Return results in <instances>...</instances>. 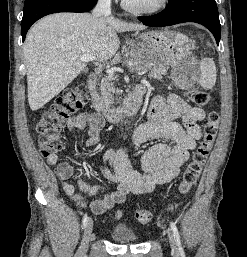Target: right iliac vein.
Masks as SVG:
<instances>
[{"mask_svg": "<svg viewBox=\"0 0 247 257\" xmlns=\"http://www.w3.org/2000/svg\"><path fill=\"white\" fill-rule=\"evenodd\" d=\"M92 230H93V221H92V219H90L85 227L83 237L81 240V244L77 250L75 257H85L87 249H88V245L90 242Z\"/></svg>", "mask_w": 247, "mask_h": 257, "instance_id": "63e3f726", "label": "right iliac vein"}]
</instances>
